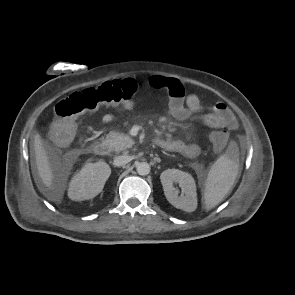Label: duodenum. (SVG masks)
Returning <instances> with one entry per match:
<instances>
[{
  "instance_id": "1",
  "label": "duodenum",
  "mask_w": 295,
  "mask_h": 295,
  "mask_svg": "<svg viewBox=\"0 0 295 295\" xmlns=\"http://www.w3.org/2000/svg\"><path fill=\"white\" fill-rule=\"evenodd\" d=\"M155 143L158 145L160 140L156 139ZM88 150L98 156H106L109 153V146L106 142L94 141L88 146Z\"/></svg>"
}]
</instances>
